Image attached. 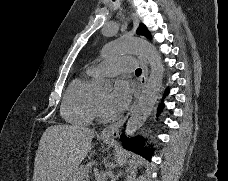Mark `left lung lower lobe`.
I'll list each match as a JSON object with an SVG mask.
<instances>
[{
    "instance_id": "1",
    "label": "left lung lower lobe",
    "mask_w": 228,
    "mask_h": 181,
    "mask_svg": "<svg viewBox=\"0 0 228 181\" xmlns=\"http://www.w3.org/2000/svg\"><path fill=\"white\" fill-rule=\"evenodd\" d=\"M167 93V92H166ZM162 105L159 106L158 111L162 110ZM120 140L122 141L123 146L131 151L142 153L144 156H146L148 159H150L152 155L153 149H148L143 146L144 142L141 138L135 137V138H127L126 136L122 135Z\"/></svg>"
}]
</instances>
